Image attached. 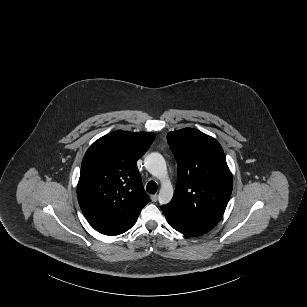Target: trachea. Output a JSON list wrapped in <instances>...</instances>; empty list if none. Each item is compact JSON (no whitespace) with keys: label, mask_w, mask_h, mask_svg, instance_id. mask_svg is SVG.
<instances>
[{"label":"trachea","mask_w":307,"mask_h":307,"mask_svg":"<svg viewBox=\"0 0 307 307\" xmlns=\"http://www.w3.org/2000/svg\"><path fill=\"white\" fill-rule=\"evenodd\" d=\"M146 191L150 194H155L157 191V183H155L154 181L148 182L146 186Z\"/></svg>","instance_id":"3493384b"}]
</instances>
